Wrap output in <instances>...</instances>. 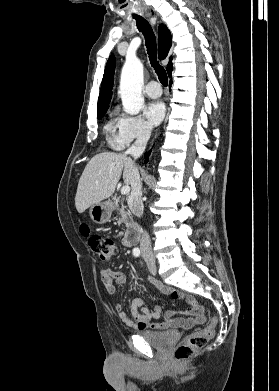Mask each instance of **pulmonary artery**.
I'll return each mask as SVG.
<instances>
[{"label": "pulmonary artery", "mask_w": 279, "mask_h": 391, "mask_svg": "<svg viewBox=\"0 0 279 391\" xmlns=\"http://www.w3.org/2000/svg\"><path fill=\"white\" fill-rule=\"evenodd\" d=\"M144 93L149 97L157 98L162 95V89L156 81H151L145 86Z\"/></svg>", "instance_id": "e3ab8cb5"}]
</instances>
